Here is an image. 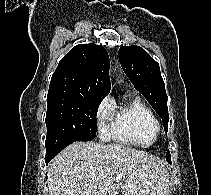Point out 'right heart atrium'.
I'll list each match as a JSON object with an SVG mask.
<instances>
[{"instance_id": "1", "label": "right heart atrium", "mask_w": 211, "mask_h": 195, "mask_svg": "<svg viewBox=\"0 0 211 195\" xmlns=\"http://www.w3.org/2000/svg\"><path fill=\"white\" fill-rule=\"evenodd\" d=\"M113 116V105L108 99H104L98 106L96 112V125L99 135L103 139L110 136L111 119Z\"/></svg>"}]
</instances>
